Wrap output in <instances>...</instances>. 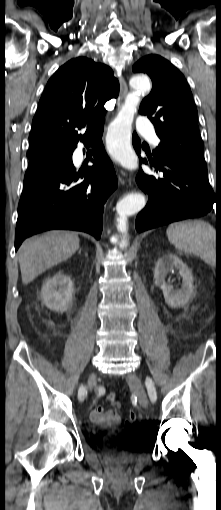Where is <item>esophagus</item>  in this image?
Instances as JSON below:
<instances>
[{
  "mask_svg": "<svg viewBox=\"0 0 221 510\" xmlns=\"http://www.w3.org/2000/svg\"><path fill=\"white\" fill-rule=\"evenodd\" d=\"M119 82H120V94L118 97V104L120 105L127 94L128 88L123 78H120Z\"/></svg>",
  "mask_w": 221,
  "mask_h": 510,
  "instance_id": "obj_1",
  "label": "esophagus"
}]
</instances>
